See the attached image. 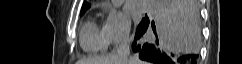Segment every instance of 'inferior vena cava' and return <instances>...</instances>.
Instances as JSON below:
<instances>
[{"label": "inferior vena cava", "instance_id": "602c4592", "mask_svg": "<svg viewBox=\"0 0 242 64\" xmlns=\"http://www.w3.org/2000/svg\"><path fill=\"white\" fill-rule=\"evenodd\" d=\"M130 53V41L128 39L123 40L119 47L117 48V57L122 61L123 64H126L128 61V56Z\"/></svg>", "mask_w": 242, "mask_h": 64}]
</instances>
